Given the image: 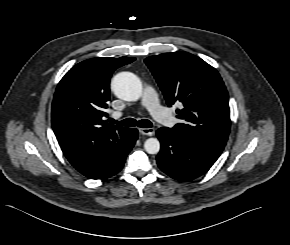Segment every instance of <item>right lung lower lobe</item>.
I'll use <instances>...</instances> for the list:
<instances>
[{
    "mask_svg": "<svg viewBox=\"0 0 290 245\" xmlns=\"http://www.w3.org/2000/svg\"><path fill=\"white\" fill-rule=\"evenodd\" d=\"M137 137H138L137 129L132 128L131 143H130L127 151L124 153V155L110 169H108L107 171L103 172L102 174H100L96 177H93L92 179H105V178H109V177L115 175L116 173H118L122 169L124 162H125V159H126V156L130 152L132 147L134 146V144L137 140Z\"/></svg>",
    "mask_w": 290,
    "mask_h": 245,
    "instance_id": "98d812e1",
    "label": "right lung lower lobe"
}]
</instances>
